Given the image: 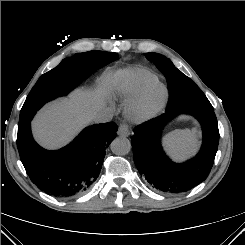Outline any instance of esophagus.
Listing matches in <instances>:
<instances>
[{
	"label": "esophagus",
	"instance_id": "esophagus-1",
	"mask_svg": "<svg viewBox=\"0 0 245 245\" xmlns=\"http://www.w3.org/2000/svg\"><path fill=\"white\" fill-rule=\"evenodd\" d=\"M130 129L129 126L125 123L120 124L119 128H118V135L119 136H123V137H127L130 135Z\"/></svg>",
	"mask_w": 245,
	"mask_h": 245
}]
</instances>
